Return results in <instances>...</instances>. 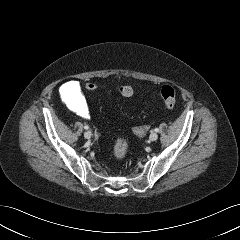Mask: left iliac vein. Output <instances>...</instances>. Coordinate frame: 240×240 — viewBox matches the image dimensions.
I'll list each match as a JSON object with an SVG mask.
<instances>
[{"label": "left iliac vein", "mask_w": 240, "mask_h": 240, "mask_svg": "<svg viewBox=\"0 0 240 240\" xmlns=\"http://www.w3.org/2000/svg\"><path fill=\"white\" fill-rule=\"evenodd\" d=\"M149 139H150L151 141H156V140L158 139L157 133L152 132V133L150 134V136H149Z\"/></svg>", "instance_id": "4c4485c4"}]
</instances>
